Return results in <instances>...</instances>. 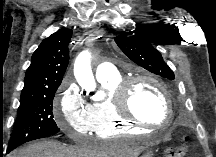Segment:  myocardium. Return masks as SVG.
I'll use <instances>...</instances> for the list:
<instances>
[{
  "instance_id": "f54148a6",
  "label": "myocardium",
  "mask_w": 216,
  "mask_h": 157,
  "mask_svg": "<svg viewBox=\"0 0 216 157\" xmlns=\"http://www.w3.org/2000/svg\"><path fill=\"white\" fill-rule=\"evenodd\" d=\"M142 81L149 82L157 87L164 98L167 116L165 121L161 124H154L142 120L138 118L131 109V96L133 88ZM115 105L116 111L120 118L138 127L162 129L167 127L171 123L173 117L172 103L166 86L161 81L148 75H136L124 79L116 87Z\"/></svg>"
}]
</instances>
